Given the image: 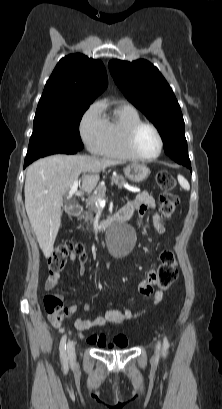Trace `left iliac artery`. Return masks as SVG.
<instances>
[{
	"label": "left iliac artery",
	"instance_id": "44dca946",
	"mask_svg": "<svg viewBox=\"0 0 222 409\" xmlns=\"http://www.w3.org/2000/svg\"><path fill=\"white\" fill-rule=\"evenodd\" d=\"M168 349H169V342H168L167 337L165 336L163 339V355L164 356H166Z\"/></svg>",
	"mask_w": 222,
	"mask_h": 409
}]
</instances>
